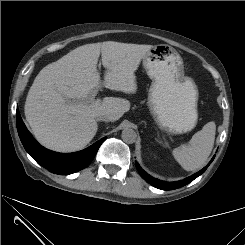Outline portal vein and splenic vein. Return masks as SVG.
<instances>
[{
    "label": "portal vein and splenic vein",
    "mask_w": 245,
    "mask_h": 245,
    "mask_svg": "<svg viewBox=\"0 0 245 245\" xmlns=\"http://www.w3.org/2000/svg\"><path fill=\"white\" fill-rule=\"evenodd\" d=\"M97 92H98V90H94V91H92V92L89 94V96H88L85 100H77V99H73L72 102H73V103H78V102H80V101H84V102H88V103L93 102V101L95 100V97H96V95H97Z\"/></svg>",
    "instance_id": "1"
}]
</instances>
